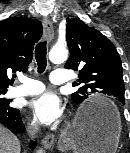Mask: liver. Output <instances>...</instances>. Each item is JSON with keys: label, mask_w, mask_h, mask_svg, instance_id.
Instances as JSON below:
<instances>
[{"label": "liver", "mask_w": 130, "mask_h": 153, "mask_svg": "<svg viewBox=\"0 0 130 153\" xmlns=\"http://www.w3.org/2000/svg\"><path fill=\"white\" fill-rule=\"evenodd\" d=\"M18 138L0 124V153H20Z\"/></svg>", "instance_id": "6515ba94"}]
</instances>
